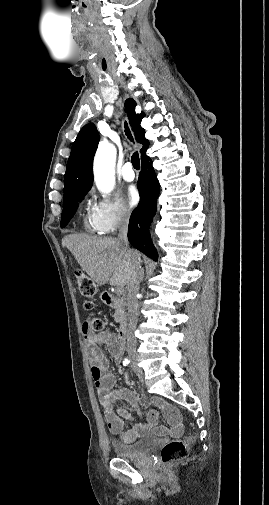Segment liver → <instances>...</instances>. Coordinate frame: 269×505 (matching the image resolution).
Returning <instances> with one entry per match:
<instances>
[{"instance_id": "1", "label": "liver", "mask_w": 269, "mask_h": 505, "mask_svg": "<svg viewBox=\"0 0 269 505\" xmlns=\"http://www.w3.org/2000/svg\"><path fill=\"white\" fill-rule=\"evenodd\" d=\"M62 246L70 250L93 283L127 286L131 278V259L117 238L69 234L62 239ZM131 252L140 260L137 252Z\"/></svg>"}]
</instances>
